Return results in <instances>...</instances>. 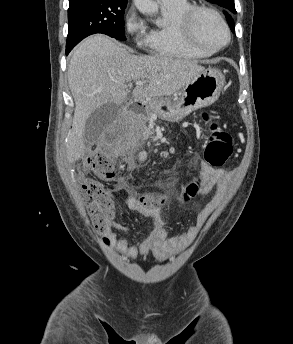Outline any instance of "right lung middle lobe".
Returning <instances> with one entry per match:
<instances>
[{
  "label": "right lung middle lobe",
  "mask_w": 293,
  "mask_h": 344,
  "mask_svg": "<svg viewBox=\"0 0 293 344\" xmlns=\"http://www.w3.org/2000/svg\"><path fill=\"white\" fill-rule=\"evenodd\" d=\"M127 1L82 0L69 5L66 54L85 37L102 33L125 40L124 9Z\"/></svg>",
  "instance_id": "right-lung-middle-lobe-1"
}]
</instances>
